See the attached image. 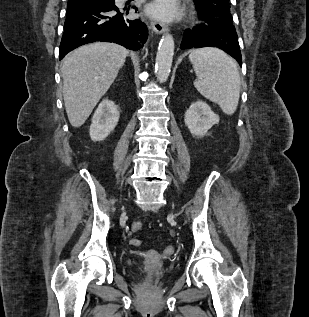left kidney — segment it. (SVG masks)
<instances>
[{"instance_id":"1","label":"left kidney","mask_w":309,"mask_h":317,"mask_svg":"<svg viewBox=\"0 0 309 317\" xmlns=\"http://www.w3.org/2000/svg\"><path fill=\"white\" fill-rule=\"evenodd\" d=\"M184 121L193 136L203 137L214 124L219 123V116L205 102L199 100L190 105L185 112Z\"/></svg>"}]
</instances>
